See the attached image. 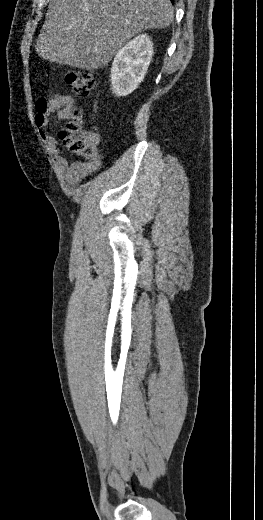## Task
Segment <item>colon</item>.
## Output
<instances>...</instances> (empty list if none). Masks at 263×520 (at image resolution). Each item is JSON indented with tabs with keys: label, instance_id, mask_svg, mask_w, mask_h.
<instances>
[{
	"label": "colon",
	"instance_id": "1",
	"mask_svg": "<svg viewBox=\"0 0 263 520\" xmlns=\"http://www.w3.org/2000/svg\"><path fill=\"white\" fill-rule=\"evenodd\" d=\"M65 81L71 90L81 98L88 97L94 88L93 74L87 69L70 70ZM59 148L69 154L90 159L98 154L97 146L81 133V110L74 107L69 122L59 132Z\"/></svg>",
	"mask_w": 263,
	"mask_h": 520
}]
</instances>
